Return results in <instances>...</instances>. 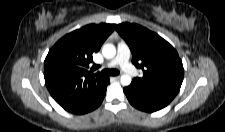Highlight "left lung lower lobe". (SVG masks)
<instances>
[{
	"mask_svg": "<svg viewBox=\"0 0 225 132\" xmlns=\"http://www.w3.org/2000/svg\"><path fill=\"white\" fill-rule=\"evenodd\" d=\"M129 102L135 108L155 112L166 107L175 97V95L158 91H147L134 84L124 88Z\"/></svg>",
	"mask_w": 225,
	"mask_h": 132,
	"instance_id": "left-lung-lower-lobe-1",
	"label": "left lung lower lobe"
}]
</instances>
